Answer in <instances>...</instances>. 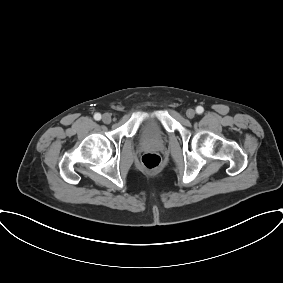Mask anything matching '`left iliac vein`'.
<instances>
[{
  "label": "left iliac vein",
  "instance_id": "left-iliac-vein-1",
  "mask_svg": "<svg viewBox=\"0 0 283 283\" xmlns=\"http://www.w3.org/2000/svg\"><path fill=\"white\" fill-rule=\"evenodd\" d=\"M195 114H196V112H195L194 109H188V110L186 111V115H187V117L190 118V119L194 118V117H195Z\"/></svg>",
  "mask_w": 283,
  "mask_h": 283
}]
</instances>
